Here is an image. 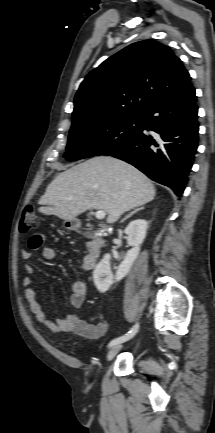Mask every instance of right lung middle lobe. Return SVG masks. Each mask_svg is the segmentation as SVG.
<instances>
[{"instance_id": "dd1d6c3e", "label": "right lung middle lobe", "mask_w": 215, "mask_h": 433, "mask_svg": "<svg viewBox=\"0 0 215 433\" xmlns=\"http://www.w3.org/2000/svg\"><path fill=\"white\" fill-rule=\"evenodd\" d=\"M142 120V116H121L95 123L74 124L64 157L75 161L104 155L137 137Z\"/></svg>"}]
</instances>
